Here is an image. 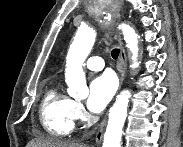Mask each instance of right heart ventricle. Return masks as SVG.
Returning <instances> with one entry per match:
<instances>
[{
	"mask_svg": "<svg viewBox=\"0 0 183 147\" xmlns=\"http://www.w3.org/2000/svg\"><path fill=\"white\" fill-rule=\"evenodd\" d=\"M74 107L75 101L58 87L49 89L40 108V119L44 129L56 137L70 135L75 125Z\"/></svg>",
	"mask_w": 183,
	"mask_h": 147,
	"instance_id": "1",
	"label": "right heart ventricle"
}]
</instances>
